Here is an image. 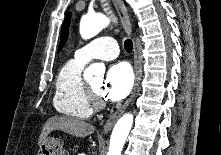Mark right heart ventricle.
I'll list each match as a JSON object with an SVG mask.
<instances>
[{"label": "right heart ventricle", "mask_w": 221, "mask_h": 155, "mask_svg": "<svg viewBox=\"0 0 221 155\" xmlns=\"http://www.w3.org/2000/svg\"><path fill=\"white\" fill-rule=\"evenodd\" d=\"M84 65L76 58L68 60L57 74L53 94V105L59 113L79 119L90 117L93 111L84 91Z\"/></svg>", "instance_id": "e07e8e85"}]
</instances>
